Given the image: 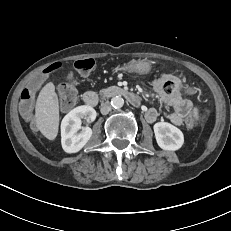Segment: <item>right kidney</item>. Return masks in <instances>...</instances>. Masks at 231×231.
<instances>
[{
	"label": "right kidney",
	"mask_w": 231,
	"mask_h": 231,
	"mask_svg": "<svg viewBox=\"0 0 231 231\" xmlns=\"http://www.w3.org/2000/svg\"><path fill=\"white\" fill-rule=\"evenodd\" d=\"M96 111L88 105L78 106L71 110L61 122V144L67 153L80 151L92 136L90 127H81L82 119L93 122Z\"/></svg>",
	"instance_id": "ca27d5eb"
}]
</instances>
